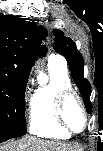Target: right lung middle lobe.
I'll use <instances>...</instances> for the list:
<instances>
[{
	"mask_svg": "<svg viewBox=\"0 0 103 151\" xmlns=\"http://www.w3.org/2000/svg\"><path fill=\"white\" fill-rule=\"evenodd\" d=\"M27 79L0 72V142L26 134L24 93Z\"/></svg>",
	"mask_w": 103,
	"mask_h": 151,
	"instance_id": "dd1d6c3e",
	"label": "right lung middle lobe"
}]
</instances>
